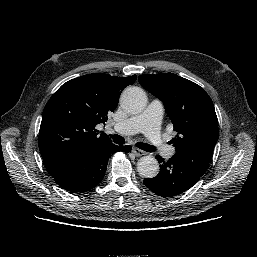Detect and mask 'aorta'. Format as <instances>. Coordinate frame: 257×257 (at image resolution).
I'll return each instance as SVG.
<instances>
[{
	"label": "aorta",
	"instance_id": "1",
	"mask_svg": "<svg viewBox=\"0 0 257 257\" xmlns=\"http://www.w3.org/2000/svg\"><path fill=\"white\" fill-rule=\"evenodd\" d=\"M121 107L128 113H141L147 105L146 93L139 87H129L120 97ZM138 173L145 178H153L159 172V163L153 156L141 157L137 163Z\"/></svg>",
	"mask_w": 257,
	"mask_h": 257
}]
</instances>
